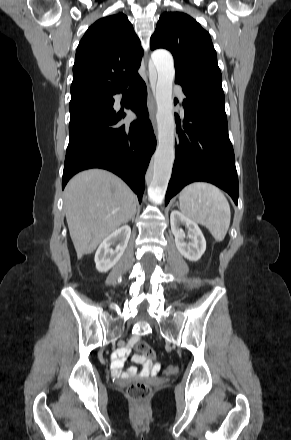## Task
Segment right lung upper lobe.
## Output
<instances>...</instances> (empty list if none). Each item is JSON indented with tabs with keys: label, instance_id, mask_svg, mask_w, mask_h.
I'll return each instance as SVG.
<instances>
[{
	"label": "right lung upper lobe",
	"instance_id": "1",
	"mask_svg": "<svg viewBox=\"0 0 291 440\" xmlns=\"http://www.w3.org/2000/svg\"><path fill=\"white\" fill-rule=\"evenodd\" d=\"M142 49L123 13L99 19L84 34L75 56L71 99L111 93L138 74Z\"/></svg>",
	"mask_w": 291,
	"mask_h": 440
}]
</instances>
